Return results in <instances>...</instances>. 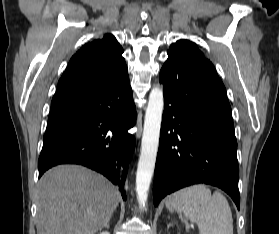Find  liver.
<instances>
[{
  "mask_svg": "<svg viewBox=\"0 0 279 234\" xmlns=\"http://www.w3.org/2000/svg\"><path fill=\"white\" fill-rule=\"evenodd\" d=\"M117 187L77 165L48 170L39 181L37 234H95L118 206Z\"/></svg>",
  "mask_w": 279,
  "mask_h": 234,
  "instance_id": "6515ba94",
  "label": "liver"
}]
</instances>
